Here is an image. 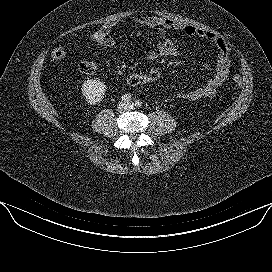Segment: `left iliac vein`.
Here are the masks:
<instances>
[{
  "mask_svg": "<svg viewBox=\"0 0 272 272\" xmlns=\"http://www.w3.org/2000/svg\"><path fill=\"white\" fill-rule=\"evenodd\" d=\"M134 108V104L132 103V102H128L127 103V109L128 110H131V109H133Z\"/></svg>",
  "mask_w": 272,
  "mask_h": 272,
  "instance_id": "left-iliac-vein-1",
  "label": "left iliac vein"
}]
</instances>
